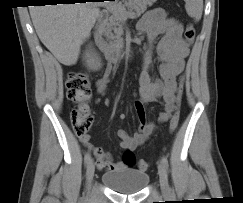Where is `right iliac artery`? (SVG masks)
Masks as SVG:
<instances>
[{"mask_svg":"<svg viewBox=\"0 0 243 203\" xmlns=\"http://www.w3.org/2000/svg\"><path fill=\"white\" fill-rule=\"evenodd\" d=\"M90 160H91V155H90L89 152H87V153L85 154V156H84V161H85V163L88 164Z\"/></svg>","mask_w":243,"mask_h":203,"instance_id":"obj_1","label":"right iliac artery"}]
</instances>
